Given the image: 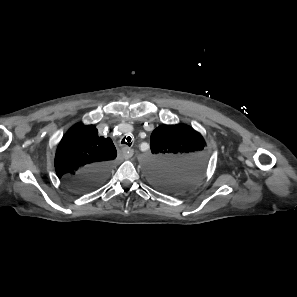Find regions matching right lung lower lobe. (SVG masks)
Here are the masks:
<instances>
[{"label":"right lung lower lobe","instance_id":"right-lung-lower-lobe-1","mask_svg":"<svg viewBox=\"0 0 297 297\" xmlns=\"http://www.w3.org/2000/svg\"><path fill=\"white\" fill-rule=\"evenodd\" d=\"M111 164L101 163L87 167L67 180L77 192H88L103 184L110 173Z\"/></svg>","mask_w":297,"mask_h":297}]
</instances>
